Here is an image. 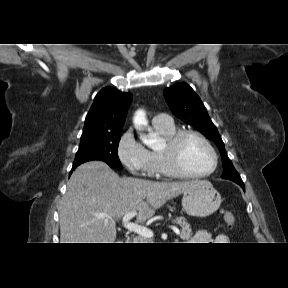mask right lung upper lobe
Instances as JSON below:
<instances>
[{"label": "right lung upper lobe", "instance_id": "right-lung-upper-lobe-1", "mask_svg": "<svg viewBox=\"0 0 288 288\" xmlns=\"http://www.w3.org/2000/svg\"><path fill=\"white\" fill-rule=\"evenodd\" d=\"M131 99V93L111 87L103 88L86 116L81 140L122 132Z\"/></svg>", "mask_w": 288, "mask_h": 288}]
</instances>
